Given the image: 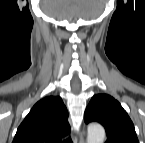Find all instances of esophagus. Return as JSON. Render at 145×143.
Segmentation results:
<instances>
[{
	"label": "esophagus",
	"instance_id": "obj_1",
	"mask_svg": "<svg viewBox=\"0 0 145 143\" xmlns=\"http://www.w3.org/2000/svg\"><path fill=\"white\" fill-rule=\"evenodd\" d=\"M84 135H85V133H84V131H82L80 134V142L79 143H85Z\"/></svg>",
	"mask_w": 145,
	"mask_h": 143
}]
</instances>
